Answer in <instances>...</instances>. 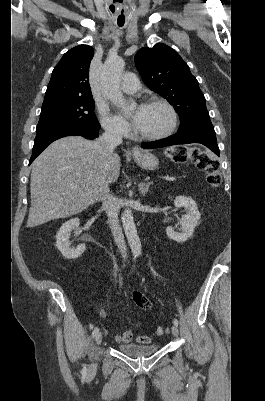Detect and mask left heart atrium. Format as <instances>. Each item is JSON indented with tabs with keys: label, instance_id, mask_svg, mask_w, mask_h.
<instances>
[{
	"label": "left heart atrium",
	"instance_id": "39dd6f15",
	"mask_svg": "<svg viewBox=\"0 0 265 401\" xmlns=\"http://www.w3.org/2000/svg\"><path fill=\"white\" fill-rule=\"evenodd\" d=\"M144 107L145 106H141L140 108H138V110L136 111V115H135V122L136 124L139 123V121L142 118L143 112H144Z\"/></svg>",
	"mask_w": 265,
	"mask_h": 401
}]
</instances>
